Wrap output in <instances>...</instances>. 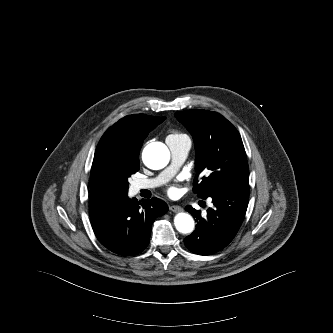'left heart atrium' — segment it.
I'll use <instances>...</instances> for the list:
<instances>
[{
    "instance_id": "left-heart-atrium-1",
    "label": "left heart atrium",
    "mask_w": 333,
    "mask_h": 333,
    "mask_svg": "<svg viewBox=\"0 0 333 333\" xmlns=\"http://www.w3.org/2000/svg\"><path fill=\"white\" fill-rule=\"evenodd\" d=\"M177 192V189L175 188V187H171L170 189H169V193L170 194H175Z\"/></svg>"
}]
</instances>
